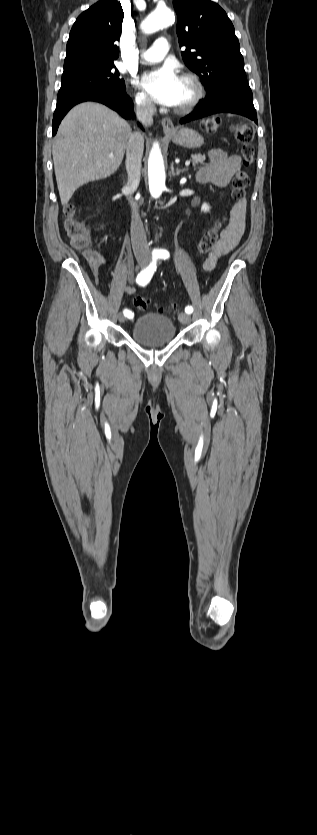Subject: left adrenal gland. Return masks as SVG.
Returning <instances> with one entry per match:
<instances>
[{
  "label": "left adrenal gland",
  "instance_id": "left-adrenal-gland-1",
  "mask_svg": "<svg viewBox=\"0 0 317 835\" xmlns=\"http://www.w3.org/2000/svg\"><path fill=\"white\" fill-rule=\"evenodd\" d=\"M171 171H172V175H173V176H179V174H180L181 172H185V171H186V169H179V168H176V172H175V170H174V164H172V165H171Z\"/></svg>",
  "mask_w": 317,
  "mask_h": 835
}]
</instances>
